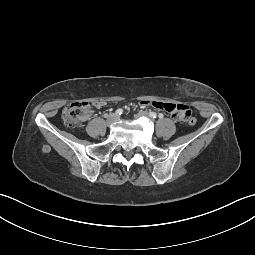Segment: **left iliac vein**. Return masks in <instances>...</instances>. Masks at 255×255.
I'll return each mask as SVG.
<instances>
[{"mask_svg":"<svg viewBox=\"0 0 255 255\" xmlns=\"http://www.w3.org/2000/svg\"><path fill=\"white\" fill-rule=\"evenodd\" d=\"M136 117H147L149 118V114L145 111H140L139 113L136 114Z\"/></svg>","mask_w":255,"mask_h":255,"instance_id":"obj_1","label":"left iliac vein"}]
</instances>
